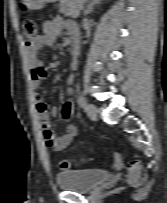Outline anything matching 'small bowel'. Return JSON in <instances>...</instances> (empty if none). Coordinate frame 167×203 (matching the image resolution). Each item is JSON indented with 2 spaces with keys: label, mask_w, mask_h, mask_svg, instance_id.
<instances>
[{
  "label": "small bowel",
  "mask_w": 167,
  "mask_h": 203,
  "mask_svg": "<svg viewBox=\"0 0 167 203\" xmlns=\"http://www.w3.org/2000/svg\"><path fill=\"white\" fill-rule=\"evenodd\" d=\"M66 30L73 41L78 37L76 25L71 21H65L60 17L48 20L43 24V32L31 42L26 43V53L30 66V76L34 87H37L42 79L47 75V66L40 59V52L47 47H52L56 44L61 32ZM71 67H76V62L71 63ZM71 78H69L70 80ZM35 109L42 128V135L46 146L53 151H61L68 147L73 140L78 136V129L70 124L74 112L73 100H67L60 108L51 106L43 101L40 94L35 95ZM60 116L67 123L66 132L56 136L51 130V118ZM120 167V166H117Z\"/></svg>",
  "instance_id": "c3829d8e"
}]
</instances>
